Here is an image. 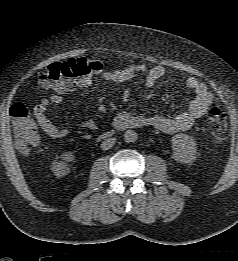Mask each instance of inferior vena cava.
Returning a JSON list of instances; mask_svg holds the SVG:
<instances>
[{
    "instance_id": "602c4592",
    "label": "inferior vena cava",
    "mask_w": 238,
    "mask_h": 261,
    "mask_svg": "<svg viewBox=\"0 0 238 261\" xmlns=\"http://www.w3.org/2000/svg\"><path fill=\"white\" fill-rule=\"evenodd\" d=\"M115 144V138H108L101 144L102 150H108Z\"/></svg>"
}]
</instances>
